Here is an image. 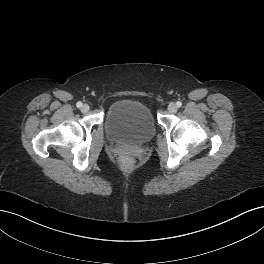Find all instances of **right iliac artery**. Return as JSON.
I'll list each match as a JSON object with an SVG mask.
<instances>
[{
	"mask_svg": "<svg viewBox=\"0 0 264 264\" xmlns=\"http://www.w3.org/2000/svg\"><path fill=\"white\" fill-rule=\"evenodd\" d=\"M82 105H83V104H82V102H80V101H79V102H77V104H76V106H77L78 108H81V107H82Z\"/></svg>",
	"mask_w": 264,
	"mask_h": 264,
	"instance_id": "1",
	"label": "right iliac artery"
}]
</instances>
